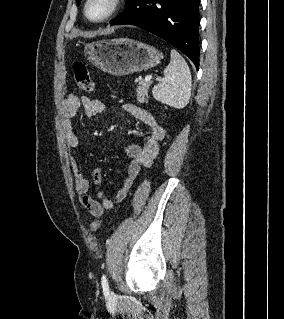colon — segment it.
<instances>
[{"mask_svg": "<svg viewBox=\"0 0 284 319\" xmlns=\"http://www.w3.org/2000/svg\"><path fill=\"white\" fill-rule=\"evenodd\" d=\"M72 68L77 88L85 92H92L94 90V82L87 67L82 62H74ZM101 225V220H95L90 224V229L94 232L98 230Z\"/></svg>", "mask_w": 284, "mask_h": 319, "instance_id": "obj_1", "label": "colon"}]
</instances>
